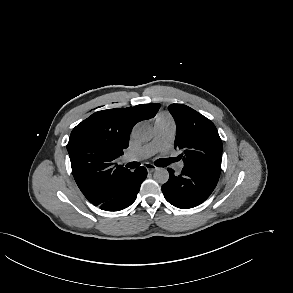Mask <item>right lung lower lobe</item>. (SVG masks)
I'll return each instance as SVG.
<instances>
[{"label": "right lung lower lobe", "instance_id": "1", "mask_svg": "<svg viewBox=\"0 0 293 293\" xmlns=\"http://www.w3.org/2000/svg\"><path fill=\"white\" fill-rule=\"evenodd\" d=\"M146 177L147 170L144 167L131 172L128 178L120 182L115 196L98 206L106 211H119L130 206L136 200L141 183Z\"/></svg>", "mask_w": 293, "mask_h": 293}]
</instances>
